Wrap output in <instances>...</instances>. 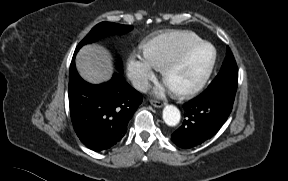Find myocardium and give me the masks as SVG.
I'll return each instance as SVG.
<instances>
[{
	"mask_svg": "<svg viewBox=\"0 0 288 181\" xmlns=\"http://www.w3.org/2000/svg\"><path fill=\"white\" fill-rule=\"evenodd\" d=\"M205 47H210L213 51L212 59L207 67L206 71L203 73V75L197 79L196 81L185 85V86H178V87H173L171 86V90L177 94V95H192L197 93L199 90H201L209 78L211 77L214 68L217 63V58H218V52L216 47L207 41H203L199 44H196L194 46H191L184 51H182L179 55H177L173 60L168 62L165 66L162 68V77L165 82H167L168 78L170 77L171 74H173L176 70H178L186 61L187 59L193 55L195 52L205 48Z\"/></svg>",
	"mask_w": 288,
	"mask_h": 181,
	"instance_id": "1",
	"label": "myocardium"
}]
</instances>
